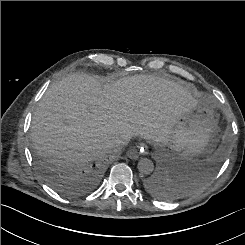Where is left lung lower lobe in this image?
I'll return each instance as SVG.
<instances>
[{"mask_svg": "<svg viewBox=\"0 0 245 245\" xmlns=\"http://www.w3.org/2000/svg\"><path fill=\"white\" fill-rule=\"evenodd\" d=\"M166 174H155L144 181V188L151 195L160 198L167 199L172 195V191L166 183Z\"/></svg>", "mask_w": 245, "mask_h": 245, "instance_id": "left-lung-lower-lobe-1", "label": "left lung lower lobe"}]
</instances>
